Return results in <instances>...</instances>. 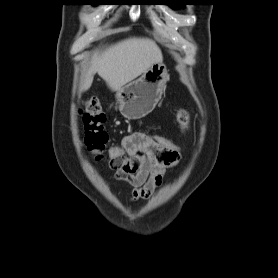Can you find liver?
Returning a JSON list of instances; mask_svg holds the SVG:
<instances>
[{
	"instance_id": "1",
	"label": "liver",
	"mask_w": 278,
	"mask_h": 278,
	"mask_svg": "<svg viewBox=\"0 0 278 278\" xmlns=\"http://www.w3.org/2000/svg\"><path fill=\"white\" fill-rule=\"evenodd\" d=\"M157 44L148 38H128L97 51L84 74L80 91H87L98 73L111 91H118L153 64L162 62Z\"/></svg>"
}]
</instances>
